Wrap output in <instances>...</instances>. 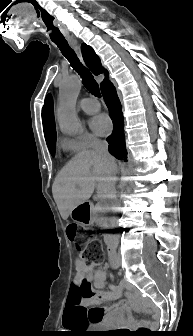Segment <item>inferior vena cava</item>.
<instances>
[{
  "label": "inferior vena cava",
  "instance_id": "602c4592",
  "mask_svg": "<svg viewBox=\"0 0 193 336\" xmlns=\"http://www.w3.org/2000/svg\"><path fill=\"white\" fill-rule=\"evenodd\" d=\"M94 151L102 156V162L105 165H108V170H112V175L108 178V186L110 188V192L108 194V198L112 201L113 206H118V199L116 195V176L118 175L119 163L113 162L111 156L108 152V143L101 140H94L93 142ZM113 162V163H112Z\"/></svg>",
  "mask_w": 193,
  "mask_h": 336
}]
</instances>
